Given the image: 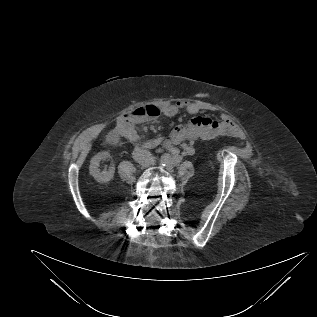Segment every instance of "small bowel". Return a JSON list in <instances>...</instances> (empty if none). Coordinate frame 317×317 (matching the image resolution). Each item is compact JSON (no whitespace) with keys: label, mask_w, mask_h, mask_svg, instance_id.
Instances as JSON below:
<instances>
[{"label":"small bowel","mask_w":317,"mask_h":317,"mask_svg":"<svg viewBox=\"0 0 317 317\" xmlns=\"http://www.w3.org/2000/svg\"><path fill=\"white\" fill-rule=\"evenodd\" d=\"M160 109L162 115L169 118L176 116L181 110H186L193 116L187 125L174 127L170 139L164 143L165 149L175 156L179 153L177 148L179 145L182 147L184 156H192L195 153V148L191 144L193 140H210L219 135H236L238 132L237 127L225 119L218 120L200 115L205 108L195 101H163ZM115 131L122 133L129 140L139 141L133 120H124L118 124Z\"/></svg>","instance_id":"obj_1"}]
</instances>
